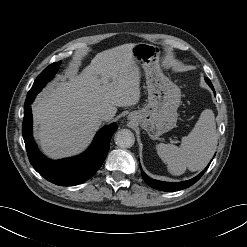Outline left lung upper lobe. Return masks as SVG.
<instances>
[{
    "label": "left lung upper lobe",
    "mask_w": 247,
    "mask_h": 247,
    "mask_svg": "<svg viewBox=\"0 0 247 247\" xmlns=\"http://www.w3.org/2000/svg\"><path fill=\"white\" fill-rule=\"evenodd\" d=\"M207 81L211 82L208 78H205Z\"/></svg>",
    "instance_id": "left-lung-upper-lobe-1"
}]
</instances>
